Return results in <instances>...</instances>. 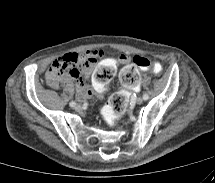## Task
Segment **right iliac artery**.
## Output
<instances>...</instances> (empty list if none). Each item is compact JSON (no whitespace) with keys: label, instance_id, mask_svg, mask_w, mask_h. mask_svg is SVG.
Segmentation results:
<instances>
[{"label":"right iliac artery","instance_id":"right-iliac-artery-1","mask_svg":"<svg viewBox=\"0 0 215 183\" xmlns=\"http://www.w3.org/2000/svg\"><path fill=\"white\" fill-rule=\"evenodd\" d=\"M69 105H70L71 107H75V105H76V102H74V101H71V102L69 103Z\"/></svg>","mask_w":215,"mask_h":183}]
</instances>
